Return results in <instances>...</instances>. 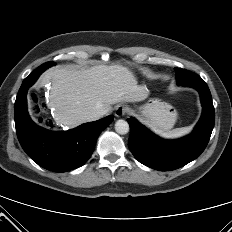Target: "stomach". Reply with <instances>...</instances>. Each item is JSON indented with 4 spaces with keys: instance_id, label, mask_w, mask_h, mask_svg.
Masks as SVG:
<instances>
[{
    "instance_id": "0dacf381",
    "label": "stomach",
    "mask_w": 232,
    "mask_h": 232,
    "mask_svg": "<svg viewBox=\"0 0 232 232\" xmlns=\"http://www.w3.org/2000/svg\"><path fill=\"white\" fill-rule=\"evenodd\" d=\"M140 113L147 124L158 133L169 131L177 120V111L174 107L159 99H151L140 108Z\"/></svg>"
}]
</instances>
